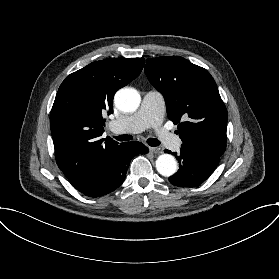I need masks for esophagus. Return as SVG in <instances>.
Segmentation results:
<instances>
[{
	"instance_id": "obj_1",
	"label": "esophagus",
	"mask_w": 279,
	"mask_h": 279,
	"mask_svg": "<svg viewBox=\"0 0 279 279\" xmlns=\"http://www.w3.org/2000/svg\"><path fill=\"white\" fill-rule=\"evenodd\" d=\"M149 151L153 154H158L160 153L161 149L157 147H149Z\"/></svg>"
}]
</instances>
